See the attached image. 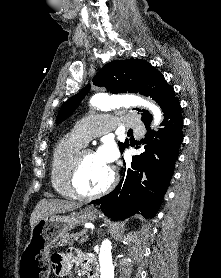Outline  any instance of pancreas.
<instances>
[{"instance_id": "obj_1", "label": "pancreas", "mask_w": 221, "mask_h": 278, "mask_svg": "<svg viewBox=\"0 0 221 278\" xmlns=\"http://www.w3.org/2000/svg\"><path fill=\"white\" fill-rule=\"evenodd\" d=\"M85 235V236H84ZM79 237H81V241L86 237V232L83 231L81 233H72V234H66L65 236H63L60 241L58 242L59 246H65L67 244L72 245L74 243L75 240H77Z\"/></svg>"}]
</instances>
